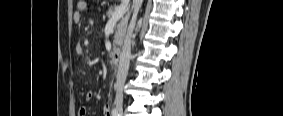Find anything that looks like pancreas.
<instances>
[{
    "label": "pancreas",
    "mask_w": 283,
    "mask_h": 116,
    "mask_svg": "<svg viewBox=\"0 0 283 116\" xmlns=\"http://www.w3.org/2000/svg\"><path fill=\"white\" fill-rule=\"evenodd\" d=\"M116 9H117L116 6L110 7L107 12V17L111 18L112 14L114 13ZM127 22H128V19L127 17H125L122 20H120L115 27V36H114V41H113L114 49H116L117 46H120L122 44V40H123L124 34L126 32V28H127Z\"/></svg>",
    "instance_id": "cf45deb5"
}]
</instances>
